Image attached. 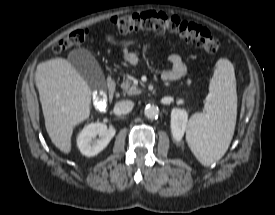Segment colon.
Instances as JSON below:
<instances>
[{"label":"colon","instance_id":"obj_1","mask_svg":"<svg viewBox=\"0 0 275 215\" xmlns=\"http://www.w3.org/2000/svg\"><path fill=\"white\" fill-rule=\"evenodd\" d=\"M108 24L121 34L149 30L161 34H173L182 41L196 44L209 53H215L220 49L219 40L205 27L163 12L148 11L116 16ZM89 33L86 29L71 32L54 44L53 53L61 54L71 46L84 42Z\"/></svg>","mask_w":275,"mask_h":215}]
</instances>
